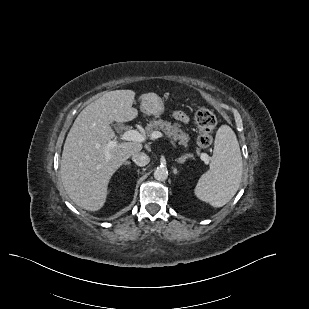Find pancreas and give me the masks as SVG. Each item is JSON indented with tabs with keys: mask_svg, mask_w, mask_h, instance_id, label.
<instances>
[{
	"mask_svg": "<svg viewBox=\"0 0 309 309\" xmlns=\"http://www.w3.org/2000/svg\"><path fill=\"white\" fill-rule=\"evenodd\" d=\"M155 130H162L167 136L178 141L179 145L184 147L188 146L190 137L187 133L181 130L178 124H171L169 121H163L162 119L152 120L147 124L145 131L148 135H151ZM196 153L200 154V149H196Z\"/></svg>",
	"mask_w": 309,
	"mask_h": 309,
	"instance_id": "pancreas-1",
	"label": "pancreas"
}]
</instances>
